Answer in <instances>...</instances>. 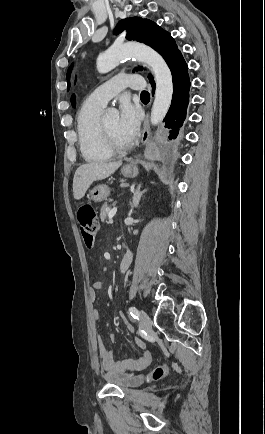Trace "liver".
I'll return each mask as SVG.
<instances>
[{"label":"liver","mask_w":265,"mask_h":434,"mask_svg":"<svg viewBox=\"0 0 265 434\" xmlns=\"http://www.w3.org/2000/svg\"><path fill=\"white\" fill-rule=\"evenodd\" d=\"M119 166H122V162L83 164V166H79L73 178V196L75 200H81L93 182L109 178L111 174L118 170Z\"/></svg>","instance_id":"1"}]
</instances>
